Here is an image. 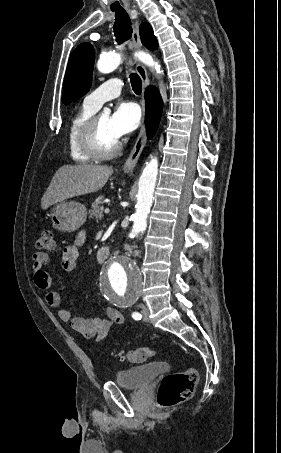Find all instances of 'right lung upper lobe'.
<instances>
[{
	"label": "right lung upper lobe",
	"mask_w": 281,
	"mask_h": 453,
	"mask_svg": "<svg viewBox=\"0 0 281 453\" xmlns=\"http://www.w3.org/2000/svg\"><path fill=\"white\" fill-rule=\"evenodd\" d=\"M140 38L142 44L150 50H155L158 48L157 38L154 36L152 27L149 23L144 22L140 26Z\"/></svg>",
	"instance_id": "1"
}]
</instances>
